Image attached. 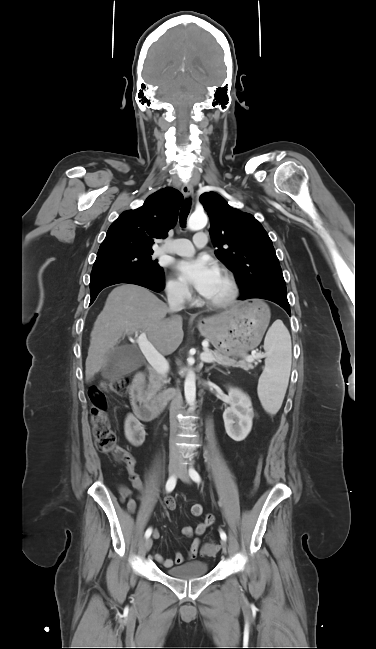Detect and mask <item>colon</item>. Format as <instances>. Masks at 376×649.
<instances>
[{"label":"colon","instance_id":"colon-1","mask_svg":"<svg viewBox=\"0 0 376 649\" xmlns=\"http://www.w3.org/2000/svg\"><path fill=\"white\" fill-rule=\"evenodd\" d=\"M129 386V379L126 376H119L103 381L100 385L93 386L88 390V398L91 403L90 422L95 444L101 452L111 454L116 461L123 463L127 470L134 466V460L124 448L118 445L116 435L111 429L106 413V393L112 392L122 396L127 394ZM261 471L262 460L260 458L256 467L254 488L259 483ZM217 551L218 545L213 542H207L203 546V552L208 556L214 555Z\"/></svg>","mask_w":376,"mask_h":649}]
</instances>
